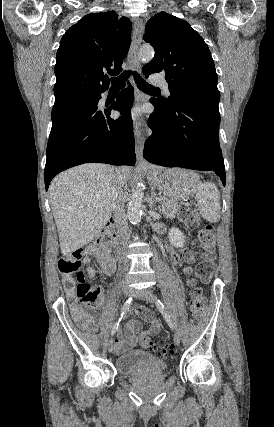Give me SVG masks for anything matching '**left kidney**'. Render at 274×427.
<instances>
[{
	"label": "left kidney",
	"instance_id": "left-kidney-1",
	"mask_svg": "<svg viewBox=\"0 0 274 427\" xmlns=\"http://www.w3.org/2000/svg\"><path fill=\"white\" fill-rule=\"evenodd\" d=\"M168 239L174 247H183L186 241L184 233H182L178 227H171V229H169Z\"/></svg>",
	"mask_w": 274,
	"mask_h": 427
}]
</instances>
